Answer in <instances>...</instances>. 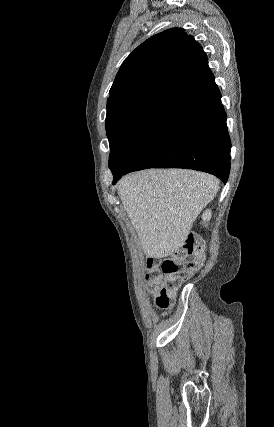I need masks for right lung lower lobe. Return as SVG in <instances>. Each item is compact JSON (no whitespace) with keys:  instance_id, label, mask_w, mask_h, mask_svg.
<instances>
[{"instance_id":"obj_1","label":"right lung lower lobe","mask_w":274,"mask_h":427,"mask_svg":"<svg viewBox=\"0 0 274 427\" xmlns=\"http://www.w3.org/2000/svg\"><path fill=\"white\" fill-rule=\"evenodd\" d=\"M231 143L221 94L214 79L176 101L125 165L109 166L113 184L122 175L146 168H187L226 183Z\"/></svg>"}]
</instances>
